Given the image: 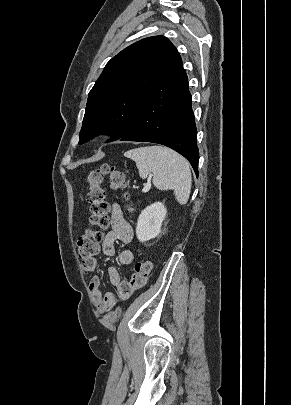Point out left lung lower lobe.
<instances>
[{
  "mask_svg": "<svg viewBox=\"0 0 291 405\" xmlns=\"http://www.w3.org/2000/svg\"><path fill=\"white\" fill-rule=\"evenodd\" d=\"M188 78L180 56L142 99L130 129L120 141L152 142L183 155L198 175L195 118Z\"/></svg>",
  "mask_w": 291,
  "mask_h": 405,
  "instance_id": "0a47b994",
  "label": "left lung lower lobe"
}]
</instances>
